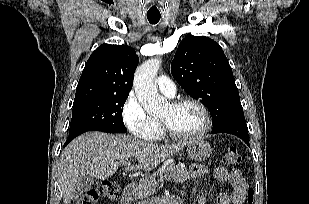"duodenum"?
Returning <instances> with one entry per match:
<instances>
[{"label":"duodenum","instance_id":"duodenum-1","mask_svg":"<svg viewBox=\"0 0 309 204\" xmlns=\"http://www.w3.org/2000/svg\"><path fill=\"white\" fill-rule=\"evenodd\" d=\"M134 195L135 184L133 182H130L125 186L123 190L120 204H132Z\"/></svg>","mask_w":309,"mask_h":204}]
</instances>
